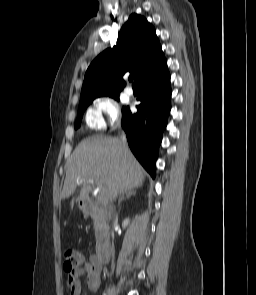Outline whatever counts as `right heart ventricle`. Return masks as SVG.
<instances>
[{"instance_id": "e07e8e85", "label": "right heart ventricle", "mask_w": 256, "mask_h": 295, "mask_svg": "<svg viewBox=\"0 0 256 295\" xmlns=\"http://www.w3.org/2000/svg\"><path fill=\"white\" fill-rule=\"evenodd\" d=\"M86 122L88 126L92 129L100 127L98 119L93 110H90L87 114Z\"/></svg>"}]
</instances>
